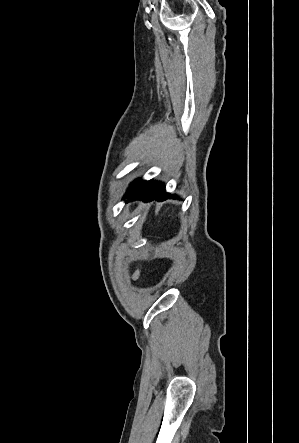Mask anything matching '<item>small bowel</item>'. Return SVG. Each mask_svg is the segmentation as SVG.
<instances>
[{
  "mask_svg": "<svg viewBox=\"0 0 299 443\" xmlns=\"http://www.w3.org/2000/svg\"><path fill=\"white\" fill-rule=\"evenodd\" d=\"M141 277V271L140 270H136L133 275H132V280L133 281H138Z\"/></svg>",
  "mask_w": 299,
  "mask_h": 443,
  "instance_id": "c3829d8e",
  "label": "small bowel"
}]
</instances>
